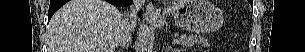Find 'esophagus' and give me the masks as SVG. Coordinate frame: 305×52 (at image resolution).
<instances>
[{
    "mask_svg": "<svg viewBox=\"0 0 305 52\" xmlns=\"http://www.w3.org/2000/svg\"><path fill=\"white\" fill-rule=\"evenodd\" d=\"M144 17L147 21H153L158 19L160 17V14L152 3H148L146 6Z\"/></svg>",
    "mask_w": 305,
    "mask_h": 52,
    "instance_id": "1",
    "label": "esophagus"
}]
</instances>
